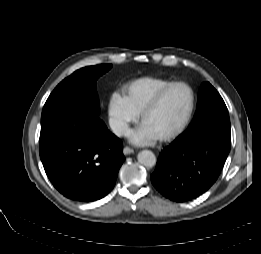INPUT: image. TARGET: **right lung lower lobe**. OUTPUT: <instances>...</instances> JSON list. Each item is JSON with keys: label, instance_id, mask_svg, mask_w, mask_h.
<instances>
[{"label": "right lung lower lobe", "instance_id": "obj_1", "mask_svg": "<svg viewBox=\"0 0 261 254\" xmlns=\"http://www.w3.org/2000/svg\"><path fill=\"white\" fill-rule=\"evenodd\" d=\"M39 149L54 187L65 197L84 202L112 190L125 160L121 140L98 115L75 103L44 106Z\"/></svg>", "mask_w": 261, "mask_h": 254}]
</instances>
